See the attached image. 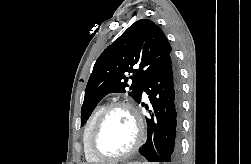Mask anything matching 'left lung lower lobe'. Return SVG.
<instances>
[{
    "mask_svg": "<svg viewBox=\"0 0 251 164\" xmlns=\"http://www.w3.org/2000/svg\"><path fill=\"white\" fill-rule=\"evenodd\" d=\"M143 91L149 97L145 107L150 117L146 118L147 141L139 153L149 162L175 164L180 151L181 83L172 56L147 78Z\"/></svg>",
    "mask_w": 251,
    "mask_h": 164,
    "instance_id": "1",
    "label": "left lung lower lobe"
}]
</instances>
